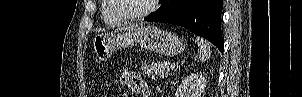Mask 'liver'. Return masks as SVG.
<instances>
[{
  "label": "liver",
  "mask_w": 302,
  "mask_h": 97,
  "mask_svg": "<svg viewBox=\"0 0 302 97\" xmlns=\"http://www.w3.org/2000/svg\"><path fill=\"white\" fill-rule=\"evenodd\" d=\"M131 27H134L135 25H130ZM137 26V25H136ZM123 28H125V27H123ZM123 28H121V29H123ZM120 30V29H119Z\"/></svg>",
  "instance_id": "6515ba94"
}]
</instances>
